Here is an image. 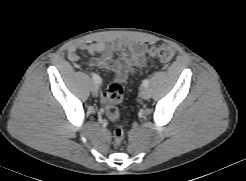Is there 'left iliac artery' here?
Segmentation results:
<instances>
[{
	"label": "left iliac artery",
	"mask_w": 246,
	"mask_h": 181,
	"mask_svg": "<svg viewBox=\"0 0 246 181\" xmlns=\"http://www.w3.org/2000/svg\"><path fill=\"white\" fill-rule=\"evenodd\" d=\"M149 80L148 79H145L143 82H142V85L144 86V87H147L148 85H149Z\"/></svg>",
	"instance_id": "44dca946"
}]
</instances>
